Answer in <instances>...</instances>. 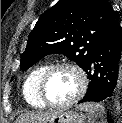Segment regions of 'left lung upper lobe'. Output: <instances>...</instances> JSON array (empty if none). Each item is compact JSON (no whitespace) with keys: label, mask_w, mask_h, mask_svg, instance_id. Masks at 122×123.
Instances as JSON below:
<instances>
[{"label":"left lung upper lobe","mask_w":122,"mask_h":123,"mask_svg":"<svg viewBox=\"0 0 122 123\" xmlns=\"http://www.w3.org/2000/svg\"><path fill=\"white\" fill-rule=\"evenodd\" d=\"M116 18L107 0H59L40 16L30 32L21 70L52 53L67 56L84 70Z\"/></svg>","instance_id":"5c2ea615"}]
</instances>
